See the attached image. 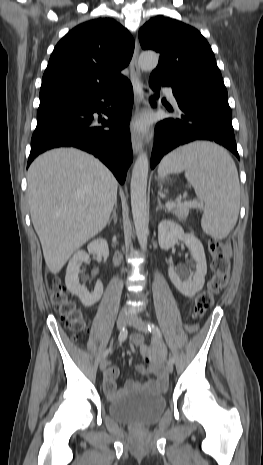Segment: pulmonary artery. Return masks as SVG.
Wrapping results in <instances>:
<instances>
[{"label": "pulmonary artery", "instance_id": "pulmonary-artery-1", "mask_svg": "<svg viewBox=\"0 0 263 465\" xmlns=\"http://www.w3.org/2000/svg\"><path fill=\"white\" fill-rule=\"evenodd\" d=\"M163 92H164V94L166 95V97L169 99V101L171 103H173L175 105L177 104L176 98H175L171 88H164Z\"/></svg>", "mask_w": 263, "mask_h": 465}]
</instances>
